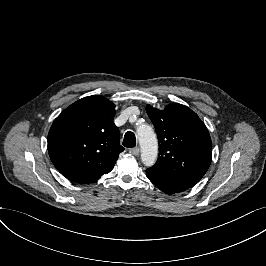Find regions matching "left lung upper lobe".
I'll list each match as a JSON object with an SVG mask.
<instances>
[{
	"instance_id": "left-lung-upper-lobe-1",
	"label": "left lung upper lobe",
	"mask_w": 266,
	"mask_h": 266,
	"mask_svg": "<svg viewBox=\"0 0 266 266\" xmlns=\"http://www.w3.org/2000/svg\"><path fill=\"white\" fill-rule=\"evenodd\" d=\"M146 111L159 142L158 160L147 170L192 187L211 163L212 143L205 124L190 108L177 103L162 111L147 105Z\"/></svg>"
}]
</instances>
